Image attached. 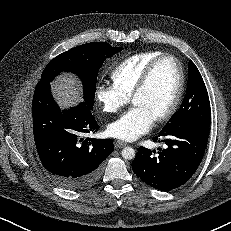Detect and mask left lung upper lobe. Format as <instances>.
<instances>
[{"mask_svg":"<svg viewBox=\"0 0 231 231\" xmlns=\"http://www.w3.org/2000/svg\"><path fill=\"white\" fill-rule=\"evenodd\" d=\"M188 86L179 110L161 131H168L182 125L210 126V102L202 76L192 61L188 63Z\"/></svg>","mask_w":231,"mask_h":231,"instance_id":"left-lung-upper-lobe-1","label":"left lung upper lobe"}]
</instances>
